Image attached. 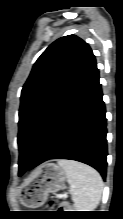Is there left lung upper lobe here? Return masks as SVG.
Instances as JSON below:
<instances>
[{
	"label": "left lung upper lobe",
	"instance_id": "obj_1",
	"mask_svg": "<svg viewBox=\"0 0 123 219\" xmlns=\"http://www.w3.org/2000/svg\"><path fill=\"white\" fill-rule=\"evenodd\" d=\"M94 63L89 45L75 35L59 38L37 59L21 91L19 172L30 164L57 109Z\"/></svg>",
	"mask_w": 123,
	"mask_h": 219
}]
</instances>
